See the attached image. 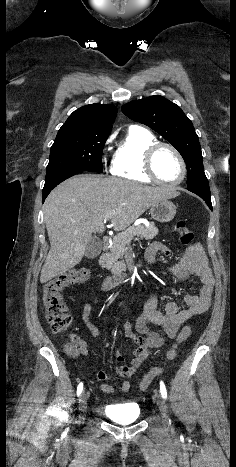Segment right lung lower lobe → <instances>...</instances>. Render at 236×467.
I'll use <instances>...</instances> for the list:
<instances>
[{
  "label": "right lung lower lobe",
  "instance_id": "98d812e1",
  "mask_svg": "<svg viewBox=\"0 0 236 467\" xmlns=\"http://www.w3.org/2000/svg\"><path fill=\"white\" fill-rule=\"evenodd\" d=\"M81 172H82L81 170L67 171V172L61 173L59 175L50 177V178H46L45 179V185H44V188H43V193H42V202H44V200L46 199V197L48 196L50 191L52 189H54L59 183H61L62 181L68 179L69 177H72L73 175H75L77 173H81Z\"/></svg>",
  "mask_w": 236,
  "mask_h": 467
}]
</instances>
